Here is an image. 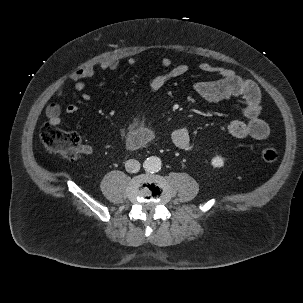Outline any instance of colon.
<instances>
[{
	"label": "colon",
	"instance_id": "colon-1",
	"mask_svg": "<svg viewBox=\"0 0 303 303\" xmlns=\"http://www.w3.org/2000/svg\"><path fill=\"white\" fill-rule=\"evenodd\" d=\"M40 139L47 149L70 161H76L80 157L81 140L76 132L65 131L48 122L41 128ZM261 157L265 162H274L278 158V152L274 147L267 146L262 149Z\"/></svg>",
	"mask_w": 303,
	"mask_h": 303
}]
</instances>
